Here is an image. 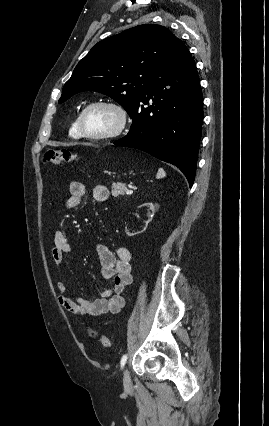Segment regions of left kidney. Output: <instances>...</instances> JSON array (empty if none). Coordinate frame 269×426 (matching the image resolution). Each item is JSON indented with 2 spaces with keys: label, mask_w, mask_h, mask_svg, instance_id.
Returning a JSON list of instances; mask_svg holds the SVG:
<instances>
[{
  "label": "left kidney",
  "mask_w": 269,
  "mask_h": 426,
  "mask_svg": "<svg viewBox=\"0 0 269 426\" xmlns=\"http://www.w3.org/2000/svg\"><path fill=\"white\" fill-rule=\"evenodd\" d=\"M142 207H146L148 209V212H149L148 213L149 219L147 221H145V226L143 228V230H144V229H146V227H147L148 223L151 221V219L154 217L155 212L159 209V205L147 202V203H143L139 206V208H142ZM125 232L128 236H134L136 234L141 233L142 231L136 232L135 230H132V228L126 227Z\"/></svg>",
  "instance_id": "obj_1"
}]
</instances>
